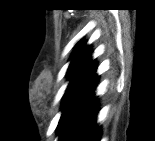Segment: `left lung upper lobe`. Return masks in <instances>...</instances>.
Instances as JSON below:
<instances>
[{
    "mask_svg": "<svg viewBox=\"0 0 155 141\" xmlns=\"http://www.w3.org/2000/svg\"><path fill=\"white\" fill-rule=\"evenodd\" d=\"M91 54V45L86 46V43H82L78 45L71 57L67 71L70 82L62 99V115L58 123L59 132L70 106L85 91L96 74L97 64L95 60H92Z\"/></svg>",
    "mask_w": 155,
    "mask_h": 141,
    "instance_id": "left-lung-upper-lobe-1",
    "label": "left lung upper lobe"
}]
</instances>
